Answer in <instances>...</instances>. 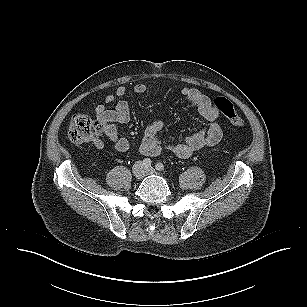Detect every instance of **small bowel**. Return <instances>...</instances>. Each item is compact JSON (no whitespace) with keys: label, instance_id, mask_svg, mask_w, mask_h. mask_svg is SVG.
I'll return each instance as SVG.
<instances>
[{"label":"small bowel","instance_id":"small-bowel-1","mask_svg":"<svg viewBox=\"0 0 307 307\" xmlns=\"http://www.w3.org/2000/svg\"><path fill=\"white\" fill-rule=\"evenodd\" d=\"M158 90V87L146 84H137L133 87L135 94L157 92ZM126 94V87L119 86L114 95L106 96L104 104L98 105L95 109V115L102 126L103 134L114 143L115 150L119 153H124L130 148L128 139L119 132L120 126L127 124L131 119L130 106L122 100ZM180 95L201 114L206 122L201 130L189 135L182 142L169 145V150L174 155L187 158L198 150L216 146L222 138V130L217 121L219 111L207 95L190 87L181 88ZM111 104H114V107L110 109L108 106ZM163 128L164 124L161 121H153L145 128L139 143L141 154L152 157L162 152L163 145L158 134ZM93 144L98 149H102L105 145L102 139H97Z\"/></svg>","mask_w":307,"mask_h":307}]
</instances>
